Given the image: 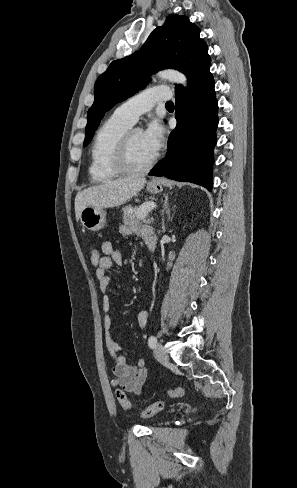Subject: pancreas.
Segmentation results:
<instances>
[{
  "label": "pancreas",
  "instance_id": "obj_1",
  "mask_svg": "<svg viewBox=\"0 0 297 488\" xmlns=\"http://www.w3.org/2000/svg\"><path fill=\"white\" fill-rule=\"evenodd\" d=\"M140 208L141 207L133 208L132 206H126L125 208H123V223L132 226L139 224L140 221L144 220L148 216V212L142 213Z\"/></svg>",
  "mask_w": 297,
  "mask_h": 488
}]
</instances>
